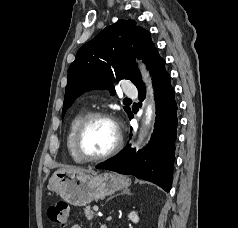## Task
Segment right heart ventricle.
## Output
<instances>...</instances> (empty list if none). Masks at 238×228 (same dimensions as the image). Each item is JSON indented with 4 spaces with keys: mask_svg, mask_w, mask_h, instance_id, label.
Here are the masks:
<instances>
[{
    "mask_svg": "<svg viewBox=\"0 0 238 228\" xmlns=\"http://www.w3.org/2000/svg\"><path fill=\"white\" fill-rule=\"evenodd\" d=\"M85 115H86L85 111H80L72 117V119L69 122L67 135H66V147H67L68 153L70 154L72 160L76 163L84 162L82 159L79 158V156L75 152L74 138H75L77 127Z\"/></svg>",
    "mask_w": 238,
    "mask_h": 228,
    "instance_id": "obj_1",
    "label": "right heart ventricle"
}]
</instances>
